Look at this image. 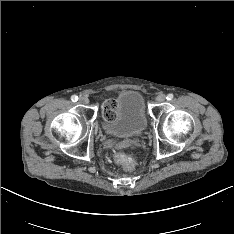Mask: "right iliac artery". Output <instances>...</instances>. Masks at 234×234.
<instances>
[{
	"instance_id": "82829eb1",
	"label": "right iliac artery",
	"mask_w": 234,
	"mask_h": 234,
	"mask_svg": "<svg viewBox=\"0 0 234 234\" xmlns=\"http://www.w3.org/2000/svg\"><path fill=\"white\" fill-rule=\"evenodd\" d=\"M71 100H72L73 102H76V101L78 100V96L72 95V96H71Z\"/></svg>"
}]
</instances>
